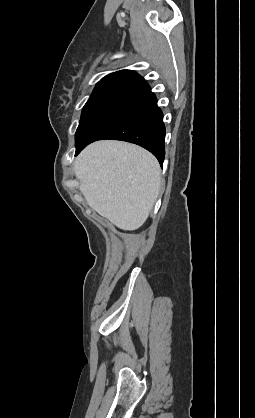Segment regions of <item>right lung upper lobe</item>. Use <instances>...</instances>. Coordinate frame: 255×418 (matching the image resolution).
<instances>
[{"label": "right lung upper lobe", "mask_w": 255, "mask_h": 418, "mask_svg": "<svg viewBox=\"0 0 255 418\" xmlns=\"http://www.w3.org/2000/svg\"><path fill=\"white\" fill-rule=\"evenodd\" d=\"M143 80L144 78L134 71L121 70L105 76L98 85H115L127 88Z\"/></svg>", "instance_id": "1"}]
</instances>
